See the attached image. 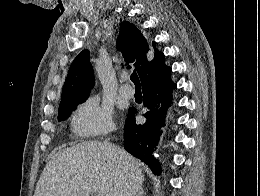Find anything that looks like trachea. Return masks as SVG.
Here are the masks:
<instances>
[{"mask_svg":"<svg viewBox=\"0 0 260 196\" xmlns=\"http://www.w3.org/2000/svg\"><path fill=\"white\" fill-rule=\"evenodd\" d=\"M130 79H131V81H133V83H134L135 86H141L139 77H138V75H137V73H136L135 70H134L133 73L131 74Z\"/></svg>","mask_w":260,"mask_h":196,"instance_id":"1","label":"trachea"}]
</instances>
